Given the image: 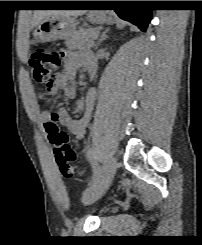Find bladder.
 <instances>
[{"instance_id":"31cf9c89","label":"bladder","mask_w":202,"mask_h":245,"mask_svg":"<svg viewBox=\"0 0 202 245\" xmlns=\"http://www.w3.org/2000/svg\"><path fill=\"white\" fill-rule=\"evenodd\" d=\"M80 206L83 209H87L91 206V204L87 203V201L85 199H81L80 200Z\"/></svg>"}]
</instances>
